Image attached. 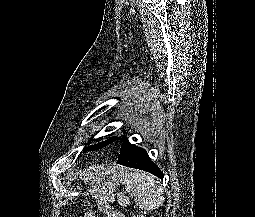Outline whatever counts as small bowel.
Masks as SVG:
<instances>
[{
    "label": "small bowel",
    "mask_w": 255,
    "mask_h": 217,
    "mask_svg": "<svg viewBox=\"0 0 255 217\" xmlns=\"http://www.w3.org/2000/svg\"><path fill=\"white\" fill-rule=\"evenodd\" d=\"M103 212H105V213H109V212H110V211H109V207H108V205H107V202H105V207H104V209H103ZM83 217H95V216H94V214H93L92 212H85V213L83 214ZM116 217H120V215L117 214Z\"/></svg>",
    "instance_id": "small-bowel-1"
}]
</instances>
